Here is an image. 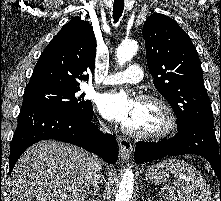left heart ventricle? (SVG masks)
Instances as JSON below:
<instances>
[{"instance_id": "1", "label": "left heart ventricle", "mask_w": 221, "mask_h": 201, "mask_svg": "<svg viewBox=\"0 0 221 201\" xmlns=\"http://www.w3.org/2000/svg\"><path fill=\"white\" fill-rule=\"evenodd\" d=\"M126 125L137 131H156L163 127L164 118L156 104L137 103L135 113Z\"/></svg>"}]
</instances>
